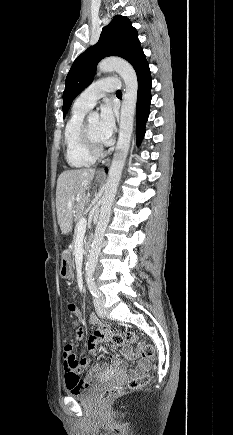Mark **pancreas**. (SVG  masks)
Masks as SVG:
<instances>
[{
    "label": "pancreas",
    "instance_id": "obj_1",
    "mask_svg": "<svg viewBox=\"0 0 233 435\" xmlns=\"http://www.w3.org/2000/svg\"><path fill=\"white\" fill-rule=\"evenodd\" d=\"M76 235H77V225H76V229H75V233H74V240H75ZM86 239H87V236H85V238H84L85 248H86ZM73 247H74V242L72 243V250H73Z\"/></svg>",
    "mask_w": 233,
    "mask_h": 435
}]
</instances>
